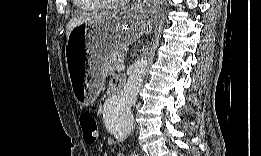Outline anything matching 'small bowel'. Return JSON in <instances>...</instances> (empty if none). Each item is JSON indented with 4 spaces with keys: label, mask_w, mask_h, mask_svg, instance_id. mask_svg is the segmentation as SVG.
Returning <instances> with one entry per match:
<instances>
[{
    "label": "small bowel",
    "mask_w": 261,
    "mask_h": 156,
    "mask_svg": "<svg viewBox=\"0 0 261 156\" xmlns=\"http://www.w3.org/2000/svg\"><path fill=\"white\" fill-rule=\"evenodd\" d=\"M123 79L122 78H115L110 83V90L113 88L121 87L123 85ZM110 144H113L112 141H110ZM118 155H123L122 150L119 149Z\"/></svg>",
    "instance_id": "c3829d8e"
}]
</instances>
